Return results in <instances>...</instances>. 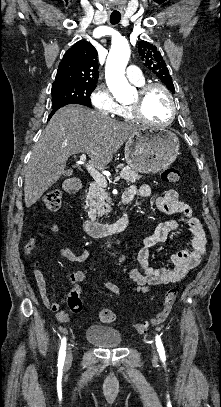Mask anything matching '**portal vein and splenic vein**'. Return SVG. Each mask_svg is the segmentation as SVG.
<instances>
[{"label":"portal vein and splenic vein","mask_w":221,"mask_h":407,"mask_svg":"<svg viewBox=\"0 0 221 407\" xmlns=\"http://www.w3.org/2000/svg\"><path fill=\"white\" fill-rule=\"evenodd\" d=\"M79 162L81 164H84L87 171L89 172V174L92 176V178L95 180L96 183H98L99 185L106 187L107 186V180L105 178L104 175H102L93 165H91L90 163H88L86 161V154H82L80 156ZM121 179V176H116L114 178V182H118Z\"/></svg>","instance_id":"18ae733b"}]
</instances>
